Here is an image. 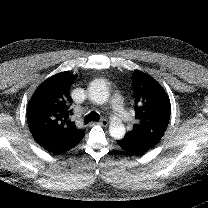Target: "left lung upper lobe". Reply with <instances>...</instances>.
Wrapping results in <instances>:
<instances>
[{"mask_svg": "<svg viewBox=\"0 0 208 208\" xmlns=\"http://www.w3.org/2000/svg\"><path fill=\"white\" fill-rule=\"evenodd\" d=\"M136 123L125 138L153 148L163 137L171 114L169 98L162 86L150 75L133 73Z\"/></svg>", "mask_w": 208, "mask_h": 208, "instance_id": "left-lung-upper-lobe-1", "label": "left lung upper lobe"}]
</instances>
